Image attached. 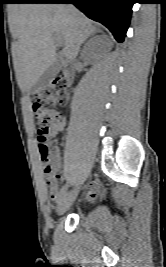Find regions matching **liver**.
Instances as JSON below:
<instances>
[{
	"label": "liver",
	"mask_w": 166,
	"mask_h": 267,
	"mask_svg": "<svg viewBox=\"0 0 166 267\" xmlns=\"http://www.w3.org/2000/svg\"><path fill=\"white\" fill-rule=\"evenodd\" d=\"M97 29L71 4H22L18 6L14 34V65L21 90H30L56 60L53 36L62 38V55L77 57L81 43Z\"/></svg>",
	"instance_id": "liver-1"
}]
</instances>
